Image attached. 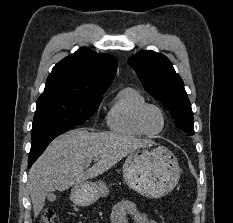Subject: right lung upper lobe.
<instances>
[{
	"instance_id": "right-lung-upper-lobe-1",
	"label": "right lung upper lobe",
	"mask_w": 233,
	"mask_h": 223,
	"mask_svg": "<svg viewBox=\"0 0 233 223\" xmlns=\"http://www.w3.org/2000/svg\"><path fill=\"white\" fill-rule=\"evenodd\" d=\"M116 70L117 61L110 54L82 48L53 67L41 96L101 97L110 86Z\"/></svg>"
}]
</instances>
